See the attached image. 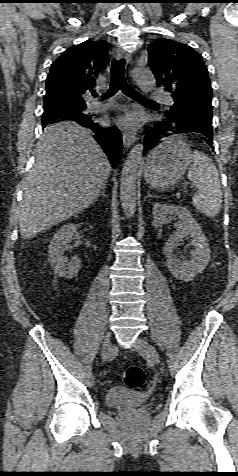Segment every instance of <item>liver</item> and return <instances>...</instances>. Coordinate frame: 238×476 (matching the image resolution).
<instances>
[{
  "instance_id": "6515ba94",
  "label": "liver",
  "mask_w": 238,
  "mask_h": 476,
  "mask_svg": "<svg viewBox=\"0 0 238 476\" xmlns=\"http://www.w3.org/2000/svg\"><path fill=\"white\" fill-rule=\"evenodd\" d=\"M23 183L20 234L32 236L86 209L105 187L111 164L91 131L75 122L47 126Z\"/></svg>"
}]
</instances>
